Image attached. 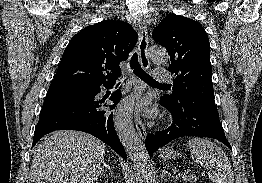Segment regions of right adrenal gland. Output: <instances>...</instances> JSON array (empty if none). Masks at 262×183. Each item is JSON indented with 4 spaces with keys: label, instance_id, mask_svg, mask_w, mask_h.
Masks as SVG:
<instances>
[{
    "label": "right adrenal gland",
    "instance_id": "1",
    "mask_svg": "<svg viewBox=\"0 0 262 183\" xmlns=\"http://www.w3.org/2000/svg\"><path fill=\"white\" fill-rule=\"evenodd\" d=\"M103 168L108 169V170L111 172L112 177L114 176L113 169H112V168L110 167V165L107 164L105 161H103Z\"/></svg>",
    "mask_w": 262,
    "mask_h": 183
}]
</instances>
